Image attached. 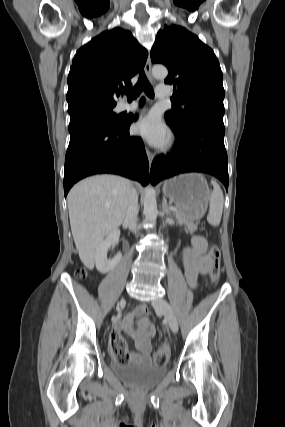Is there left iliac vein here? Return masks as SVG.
Wrapping results in <instances>:
<instances>
[{
	"label": "left iliac vein",
	"mask_w": 285,
	"mask_h": 427,
	"mask_svg": "<svg viewBox=\"0 0 285 427\" xmlns=\"http://www.w3.org/2000/svg\"><path fill=\"white\" fill-rule=\"evenodd\" d=\"M153 307L162 312L172 332L178 331V321L171 305L163 298H158L152 302Z\"/></svg>",
	"instance_id": "4c4485c4"
}]
</instances>
